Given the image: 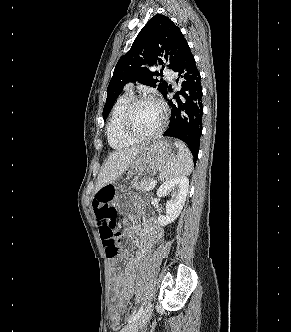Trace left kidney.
Listing matches in <instances>:
<instances>
[{
    "mask_svg": "<svg viewBox=\"0 0 291 332\" xmlns=\"http://www.w3.org/2000/svg\"><path fill=\"white\" fill-rule=\"evenodd\" d=\"M188 187V178L182 176L168 180L158 188V197H165L169 192H173L172 198L166 202V216L158 217L161 226L172 223L179 216L188 194Z\"/></svg>",
    "mask_w": 291,
    "mask_h": 332,
    "instance_id": "1",
    "label": "left kidney"
}]
</instances>
